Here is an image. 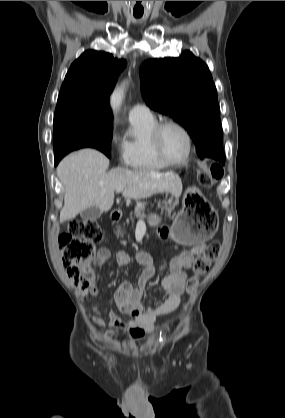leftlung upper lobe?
<instances>
[{"label": "left lung upper lobe", "mask_w": 285, "mask_h": 418, "mask_svg": "<svg viewBox=\"0 0 285 418\" xmlns=\"http://www.w3.org/2000/svg\"><path fill=\"white\" fill-rule=\"evenodd\" d=\"M140 76L146 104L181 124L201 159L223 151L217 91L201 59L190 51L179 57L150 59L141 65ZM218 160L224 164L225 154Z\"/></svg>", "instance_id": "1"}]
</instances>
